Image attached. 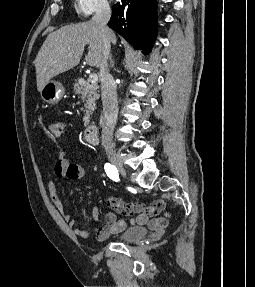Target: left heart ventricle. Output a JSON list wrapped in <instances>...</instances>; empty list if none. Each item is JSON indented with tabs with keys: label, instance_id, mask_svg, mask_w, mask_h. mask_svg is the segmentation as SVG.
Returning a JSON list of instances; mask_svg holds the SVG:
<instances>
[{
	"label": "left heart ventricle",
	"instance_id": "obj_1",
	"mask_svg": "<svg viewBox=\"0 0 255 287\" xmlns=\"http://www.w3.org/2000/svg\"><path fill=\"white\" fill-rule=\"evenodd\" d=\"M91 39H95V38H91ZM89 48H96V47H89Z\"/></svg>",
	"mask_w": 255,
	"mask_h": 287
}]
</instances>
